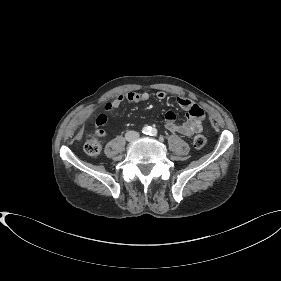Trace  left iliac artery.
<instances>
[{"instance_id":"obj_1","label":"left iliac artery","mask_w":281,"mask_h":281,"mask_svg":"<svg viewBox=\"0 0 281 281\" xmlns=\"http://www.w3.org/2000/svg\"><path fill=\"white\" fill-rule=\"evenodd\" d=\"M157 130L155 129V128H151V130H150V135L151 136H157Z\"/></svg>"}]
</instances>
